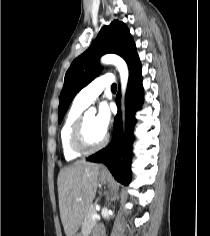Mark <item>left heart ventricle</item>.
<instances>
[{"mask_svg": "<svg viewBox=\"0 0 210 236\" xmlns=\"http://www.w3.org/2000/svg\"><path fill=\"white\" fill-rule=\"evenodd\" d=\"M94 117L93 114L88 113L85 121L86 139L91 145L99 143L104 136V133L96 127Z\"/></svg>", "mask_w": 210, "mask_h": 236, "instance_id": "b2bd125f", "label": "left heart ventricle"}]
</instances>
